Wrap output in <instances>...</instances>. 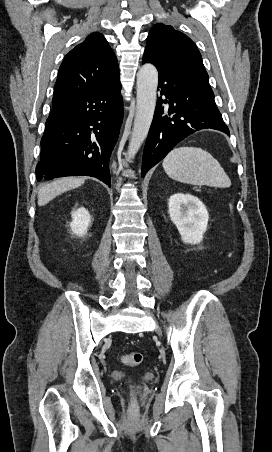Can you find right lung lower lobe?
<instances>
[{
  "instance_id": "obj_1",
  "label": "right lung lower lobe",
  "mask_w": 272,
  "mask_h": 452,
  "mask_svg": "<svg viewBox=\"0 0 272 452\" xmlns=\"http://www.w3.org/2000/svg\"><path fill=\"white\" fill-rule=\"evenodd\" d=\"M120 90L117 80L52 109L41 139L37 181L86 175L111 186L109 159L123 118Z\"/></svg>"
}]
</instances>
